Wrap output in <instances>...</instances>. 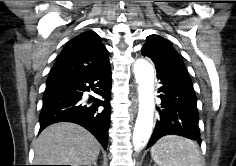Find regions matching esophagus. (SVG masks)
<instances>
[{
	"label": "esophagus",
	"instance_id": "esophagus-1",
	"mask_svg": "<svg viewBox=\"0 0 236 166\" xmlns=\"http://www.w3.org/2000/svg\"><path fill=\"white\" fill-rule=\"evenodd\" d=\"M133 93H134V96L132 98V102H133V110L135 111L137 109V104H138V101H137V98H136L137 90H136L135 86L133 88Z\"/></svg>",
	"mask_w": 236,
	"mask_h": 166
}]
</instances>
